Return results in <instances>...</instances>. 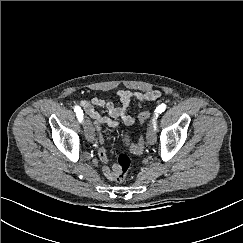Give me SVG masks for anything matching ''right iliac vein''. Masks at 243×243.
<instances>
[{
    "label": "right iliac vein",
    "mask_w": 243,
    "mask_h": 243,
    "mask_svg": "<svg viewBox=\"0 0 243 243\" xmlns=\"http://www.w3.org/2000/svg\"><path fill=\"white\" fill-rule=\"evenodd\" d=\"M84 134L88 142L94 141V129L91 121L85 117L83 121Z\"/></svg>",
    "instance_id": "obj_1"
}]
</instances>
